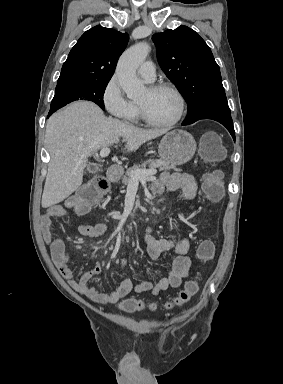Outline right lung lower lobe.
I'll list each match as a JSON object with an SVG mask.
<instances>
[{"mask_svg":"<svg viewBox=\"0 0 283 384\" xmlns=\"http://www.w3.org/2000/svg\"><path fill=\"white\" fill-rule=\"evenodd\" d=\"M56 110H52V109H50V111H49V114H48V118L53 114V112H55Z\"/></svg>","mask_w":283,"mask_h":384,"instance_id":"obj_1","label":"right lung lower lobe"}]
</instances>
